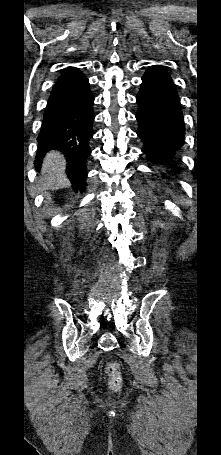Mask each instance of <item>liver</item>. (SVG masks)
Masks as SVG:
<instances>
[{"label":"liver","instance_id":"6515ba94","mask_svg":"<svg viewBox=\"0 0 221 455\" xmlns=\"http://www.w3.org/2000/svg\"><path fill=\"white\" fill-rule=\"evenodd\" d=\"M65 160L57 151H51L46 154L39 180L42 188L52 189L64 185L66 178L64 176Z\"/></svg>","mask_w":221,"mask_h":455}]
</instances>
